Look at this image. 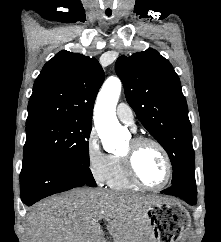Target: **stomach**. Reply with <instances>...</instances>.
I'll list each match as a JSON object with an SVG mask.
<instances>
[{
  "mask_svg": "<svg viewBox=\"0 0 221 242\" xmlns=\"http://www.w3.org/2000/svg\"><path fill=\"white\" fill-rule=\"evenodd\" d=\"M145 215L152 230L150 242H179L190 227L187 210L172 199L161 198L150 203Z\"/></svg>",
  "mask_w": 221,
  "mask_h": 242,
  "instance_id": "stomach-1",
  "label": "stomach"
}]
</instances>
